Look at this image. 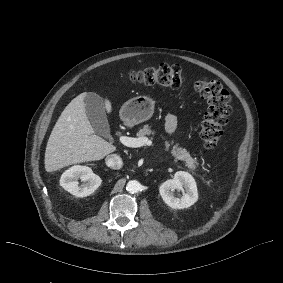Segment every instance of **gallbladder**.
Masks as SVG:
<instances>
[{
    "label": "gallbladder",
    "mask_w": 283,
    "mask_h": 283,
    "mask_svg": "<svg viewBox=\"0 0 283 283\" xmlns=\"http://www.w3.org/2000/svg\"><path fill=\"white\" fill-rule=\"evenodd\" d=\"M87 117L90 119L95 131L99 134H106L109 126L105 114L103 99L96 93H87L85 99Z\"/></svg>",
    "instance_id": "obj_1"
}]
</instances>
